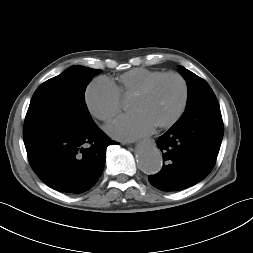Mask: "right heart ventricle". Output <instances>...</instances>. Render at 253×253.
I'll return each instance as SVG.
<instances>
[{
	"mask_svg": "<svg viewBox=\"0 0 253 253\" xmlns=\"http://www.w3.org/2000/svg\"><path fill=\"white\" fill-rule=\"evenodd\" d=\"M163 74L162 71L134 68L116 78L112 83L121 98L134 96L146 83Z\"/></svg>",
	"mask_w": 253,
	"mask_h": 253,
	"instance_id": "e07e8e85",
	"label": "right heart ventricle"
}]
</instances>
